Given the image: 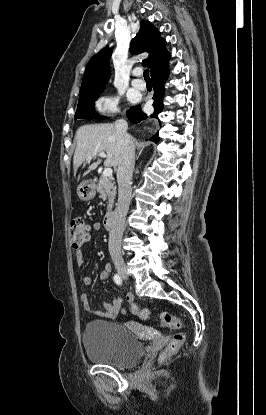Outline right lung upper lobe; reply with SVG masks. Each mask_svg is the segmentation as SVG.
I'll use <instances>...</instances> for the list:
<instances>
[{
	"label": "right lung upper lobe",
	"mask_w": 266,
	"mask_h": 415,
	"mask_svg": "<svg viewBox=\"0 0 266 415\" xmlns=\"http://www.w3.org/2000/svg\"><path fill=\"white\" fill-rule=\"evenodd\" d=\"M130 51L133 54L149 53V57L143 62L150 68L151 77L168 66L170 53L166 50V41L149 21L140 22V29L132 39ZM111 53L112 50L106 47L90 59L85 69L79 97L104 89L110 75Z\"/></svg>",
	"instance_id": "right-lung-upper-lobe-1"
}]
</instances>
